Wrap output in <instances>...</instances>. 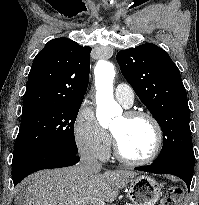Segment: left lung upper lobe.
Masks as SVG:
<instances>
[{"label":"left lung upper lobe","mask_w":199,"mask_h":205,"mask_svg":"<svg viewBox=\"0 0 199 205\" xmlns=\"http://www.w3.org/2000/svg\"><path fill=\"white\" fill-rule=\"evenodd\" d=\"M117 62L163 131V148L153 164L182 162L194 167L187 93L170 56L157 45L147 43L119 51Z\"/></svg>","instance_id":"left-lung-upper-lobe-1"}]
</instances>
